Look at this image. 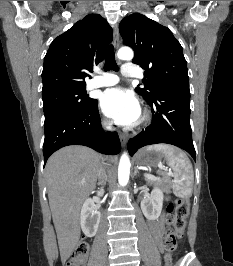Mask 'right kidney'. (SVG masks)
Instances as JSON below:
<instances>
[{"label": "right kidney", "instance_id": "right-kidney-1", "mask_svg": "<svg viewBox=\"0 0 233 266\" xmlns=\"http://www.w3.org/2000/svg\"><path fill=\"white\" fill-rule=\"evenodd\" d=\"M102 189L98 195H102ZM101 213L94 209L92 199H87L82 206L80 214V224L83 233L88 237L96 235L100 223Z\"/></svg>", "mask_w": 233, "mask_h": 266}]
</instances>
